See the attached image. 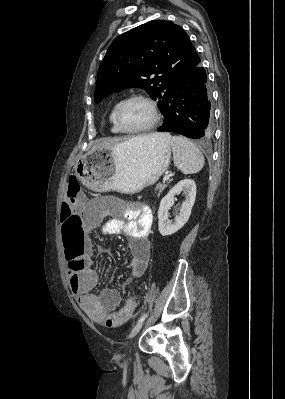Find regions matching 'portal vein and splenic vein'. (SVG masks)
Instances as JSON below:
<instances>
[{"label":"portal vein and splenic vein","mask_w":285,"mask_h":399,"mask_svg":"<svg viewBox=\"0 0 285 399\" xmlns=\"http://www.w3.org/2000/svg\"><path fill=\"white\" fill-rule=\"evenodd\" d=\"M168 180H169V176L168 175L164 176L163 181L165 182V181H168Z\"/></svg>","instance_id":"18ae733b"}]
</instances>
